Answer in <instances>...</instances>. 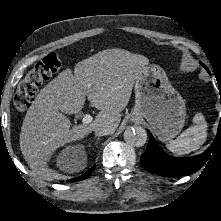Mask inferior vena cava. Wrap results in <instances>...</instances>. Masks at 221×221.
<instances>
[{
	"instance_id": "602c4592",
	"label": "inferior vena cava",
	"mask_w": 221,
	"mask_h": 221,
	"mask_svg": "<svg viewBox=\"0 0 221 221\" xmlns=\"http://www.w3.org/2000/svg\"><path fill=\"white\" fill-rule=\"evenodd\" d=\"M114 132L111 126H97L94 128L95 136L109 135Z\"/></svg>"
}]
</instances>
